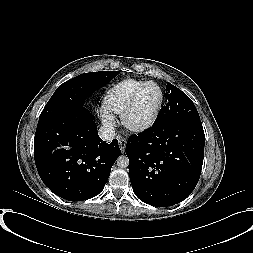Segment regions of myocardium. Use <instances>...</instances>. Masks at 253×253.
Segmentation results:
<instances>
[{"label": "myocardium", "mask_w": 253, "mask_h": 253, "mask_svg": "<svg viewBox=\"0 0 253 253\" xmlns=\"http://www.w3.org/2000/svg\"><path fill=\"white\" fill-rule=\"evenodd\" d=\"M148 85H154L158 88V90L160 92V102H159L154 114L152 115V117L150 118V120L148 122H146L145 124H142V125L132 124L131 121H130L131 113L133 112V110H134V108L137 104L140 93ZM164 102H165L164 91H163L162 87L157 82L151 81V80L143 82L141 85H139L135 89V91L133 92V94H132L129 102L127 103L124 111L121 114V120H122L123 126L128 131L133 132V133H143V132L148 131L157 122V120L159 118V115L162 111Z\"/></svg>", "instance_id": "1"}]
</instances>
